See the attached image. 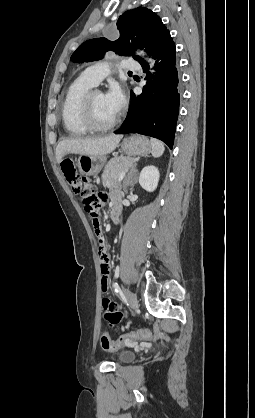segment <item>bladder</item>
<instances>
[{
  "mask_svg": "<svg viewBox=\"0 0 255 418\" xmlns=\"http://www.w3.org/2000/svg\"><path fill=\"white\" fill-rule=\"evenodd\" d=\"M135 358V353L132 350H121L115 354V360L119 363H128Z\"/></svg>",
  "mask_w": 255,
  "mask_h": 418,
  "instance_id": "1",
  "label": "bladder"
}]
</instances>
